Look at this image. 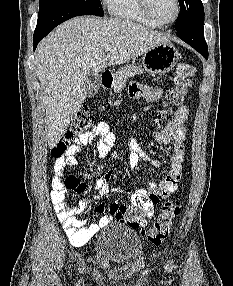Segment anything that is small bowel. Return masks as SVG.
I'll return each mask as SVG.
<instances>
[{"instance_id":"1","label":"small bowel","mask_w":233,"mask_h":286,"mask_svg":"<svg viewBox=\"0 0 233 286\" xmlns=\"http://www.w3.org/2000/svg\"><path fill=\"white\" fill-rule=\"evenodd\" d=\"M130 92L133 97L146 101H155L162 95V89L159 87L142 86L136 83L132 84ZM188 113L189 111L186 104L179 106L175 114L167 121L166 126L155 134V138L160 144L172 145L170 168L163 180L159 183L149 181L148 188L146 189H138L132 192L128 191L131 199L128 205L113 203L107 209L101 204L96 205L94 207V213L103 215L96 222L89 225H87V220L81 219L78 216L90 207V203L81 201L77 205L70 207L65 200L66 188L63 185L61 175L66 166H75L78 164L77 154L83 146L91 143L95 138H99L97 151L100 157H107L111 153V150L117 145V140L115 135L110 132L108 125L104 122L96 123L88 131L80 134L75 139L74 144L70 147L65 156L57 160L54 164L55 174L52 178V191L50 194L58 219L62 223L65 233L73 245L82 246L86 244L99 229L107 226L114 219L136 227L130 224L127 217L128 211L135 205L142 211V224H144L146 220L154 216V206L160 200L167 198L177 190L182 177V163L185 151L184 141L186 135L184 123L187 120ZM127 145L130 149L129 165L131 168H135L141 160L148 161L155 167H161V163L151 159L134 139L128 140ZM109 177L110 175L107 174L105 177L98 178L95 181V188L102 195L110 191L108 186ZM112 191L119 193L121 189L116 187L113 188Z\"/></svg>"}]
</instances>
